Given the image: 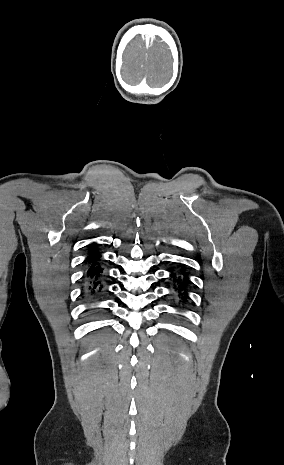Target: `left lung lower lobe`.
Masks as SVG:
<instances>
[{"label": "left lung lower lobe", "instance_id": "0a47b994", "mask_svg": "<svg viewBox=\"0 0 284 465\" xmlns=\"http://www.w3.org/2000/svg\"><path fill=\"white\" fill-rule=\"evenodd\" d=\"M170 276L172 277L171 279L175 283L173 288L177 292V297L180 299V306L176 305V307L182 308L181 303L183 305V302L185 301V298L187 296V292L185 291L186 286L188 285V283H190V281L187 279V273H185L182 270H177V273H171Z\"/></svg>", "mask_w": 284, "mask_h": 465}]
</instances>
